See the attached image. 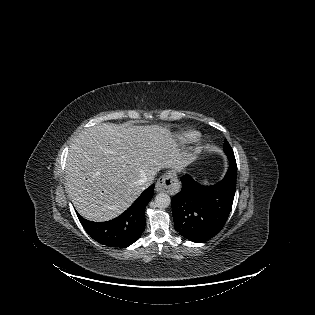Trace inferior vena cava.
<instances>
[{"mask_svg":"<svg viewBox=\"0 0 315 315\" xmlns=\"http://www.w3.org/2000/svg\"><path fill=\"white\" fill-rule=\"evenodd\" d=\"M154 178L153 177H148V178H145L143 181H142V185L145 188L149 187L152 182H153Z\"/></svg>","mask_w":315,"mask_h":315,"instance_id":"602c4592","label":"inferior vena cava"}]
</instances>
